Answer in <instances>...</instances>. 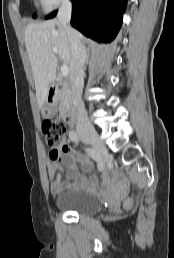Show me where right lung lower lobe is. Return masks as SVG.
I'll use <instances>...</instances> for the list:
<instances>
[{"label": "right lung lower lobe", "mask_w": 174, "mask_h": 258, "mask_svg": "<svg viewBox=\"0 0 174 258\" xmlns=\"http://www.w3.org/2000/svg\"><path fill=\"white\" fill-rule=\"evenodd\" d=\"M71 25L99 43H109L122 24L127 0H71ZM56 11L46 16L53 18Z\"/></svg>", "instance_id": "obj_1"}]
</instances>
